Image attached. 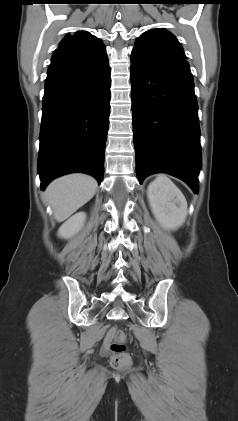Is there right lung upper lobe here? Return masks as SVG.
I'll use <instances>...</instances> for the list:
<instances>
[{
  "label": "right lung upper lobe",
  "instance_id": "obj_1",
  "mask_svg": "<svg viewBox=\"0 0 238 421\" xmlns=\"http://www.w3.org/2000/svg\"><path fill=\"white\" fill-rule=\"evenodd\" d=\"M105 45L94 35L78 31L74 35H66L54 51L51 63L66 62L106 57Z\"/></svg>",
  "mask_w": 238,
  "mask_h": 421
}]
</instances>
